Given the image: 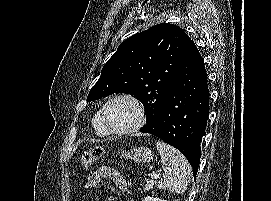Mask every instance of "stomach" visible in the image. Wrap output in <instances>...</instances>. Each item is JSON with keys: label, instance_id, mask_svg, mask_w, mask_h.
Instances as JSON below:
<instances>
[{"label": "stomach", "instance_id": "1", "mask_svg": "<svg viewBox=\"0 0 271 201\" xmlns=\"http://www.w3.org/2000/svg\"><path fill=\"white\" fill-rule=\"evenodd\" d=\"M121 157L136 163H148L153 159V154L148 147L141 146L123 151Z\"/></svg>", "mask_w": 271, "mask_h": 201}]
</instances>
